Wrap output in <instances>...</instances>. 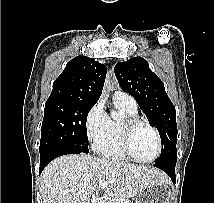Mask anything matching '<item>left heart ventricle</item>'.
<instances>
[{
	"mask_svg": "<svg viewBox=\"0 0 214 203\" xmlns=\"http://www.w3.org/2000/svg\"><path fill=\"white\" fill-rule=\"evenodd\" d=\"M131 150L139 159L152 158L157 149L154 133L146 126L137 127L131 135Z\"/></svg>",
	"mask_w": 214,
	"mask_h": 203,
	"instance_id": "obj_1",
	"label": "left heart ventricle"
}]
</instances>
